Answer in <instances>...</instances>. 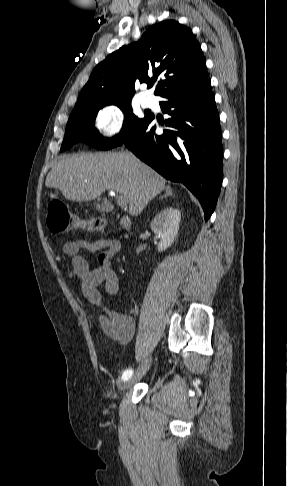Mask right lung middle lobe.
Instances as JSON below:
<instances>
[{"instance_id":"1","label":"right lung middle lobe","mask_w":287,"mask_h":486,"mask_svg":"<svg viewBox=\"0 0 287 486\" xmlns=\"http://www.w3.org/2000/svg\"><path fill=\"white\" fill-rule=\"evenodd\" d=\"M131 99L119 100L107 103L93 105L82 111L72 112L61 146V151L67 150L77 142H84L98 149L108 150L115 146L121 145L128 136L138 129L147 119L148 115L143 118L135 116L131 108ZM114 104L124 113V123L119 135L114 138H103L99 135L94 127L95 118L98 111L106 105Z\"/></svg>"}]
</instances>
